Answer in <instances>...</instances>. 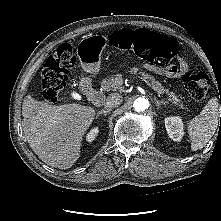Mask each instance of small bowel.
Masks as SVG:
<instances>
[{
	"label": "small bowel",
	"instance_id": "obj_1",
	"mask_svg": "<svg viewBox=\"0 0 221 221\" xmlns=\"http://www.w3.org/2000/svg\"><path fill=\"white\" fill-rule=\"evenodd\" d=\"M145 67L148 70L155 72L156 74L165 75L169 78H177L180 73L184 72L187 69L188 66L184 60H180L178 66L172 65L168 68H161L152 64H146Z\"/></svg>",
	"mask_w": 221,
	"mask_h": 221
}]
</instances>
